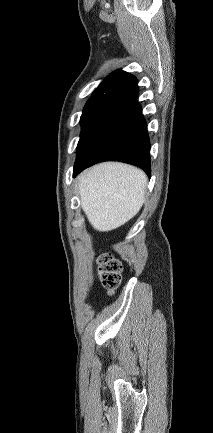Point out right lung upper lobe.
<instances>
[{"label": "right lung upper lobe", "mask_w": 213, "mask_h": 433, "mask_svg": "<svg viewBox=\"0 0 213 433\" xmlns=\"http://www.w3.org/2000/svg\"><path fill=\"white\" fill-rule=\"evenodd\" d=\"M136 83L137 79L135 76H132L127 72L118 70L105 78V80L93 92L91 98L104 95L117 96L121 92L135 85Z\"/></svg>", "instance_id": "1"}]
</instances>
